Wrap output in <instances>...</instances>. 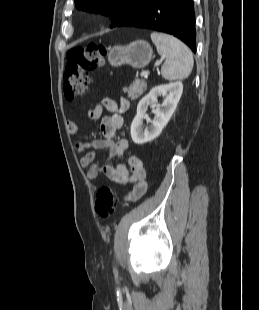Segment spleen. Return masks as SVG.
<instances>
[{
  "mask_svg": "<svg viewBox=\"0 0 259 310\" xmlns=\"http://www.w3.org/2000/svg\"><path fill=\"white\" fill-rule=\"evenodd\" d=\"M151 40L158 53L165 56L161 74L166 80L187 78L193 69L194 60L190 49L177 38L164 33H151Z\"/></svg>",
  "mask_w": 259,
  "mask_h": 310,
  "instance_id": "spleen-1",
  "label": "spleen"
}]
</instances>
